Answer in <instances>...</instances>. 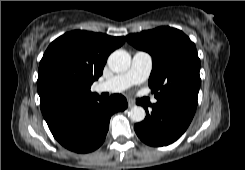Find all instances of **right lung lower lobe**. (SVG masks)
Wrapping results in <instances>:
<instances>
[{"instance_id":"98d812e1","label":"right lung lower lobe","mask_w":245,"mask_h":170,"mask_svg":"<svg viewBox=\"0 0 245 170\" xmlns=\"http://www.w3.org/2000/svg\"><path fill=\"white\" fill-rule=\"evenodd\" d=\"M126 108V98L120 94L112 95L108 100L96 94L71 105L47 124L55 139L65 148L88 153L104 142L111 115Z\"/></svg>"}]
</instances>
